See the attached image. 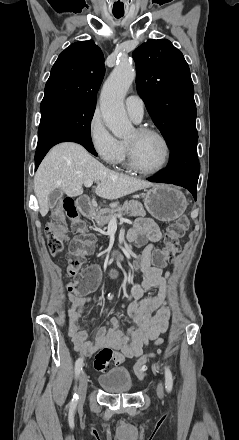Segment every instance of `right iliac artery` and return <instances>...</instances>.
Masks as SVG:
<instances>
[{"label":"right iliac artery","mask_w":239,"mask_h":440,"mask_svg":"<svg viewBox=\"0 0 239 440\" xmlns=\"http://www.w3.org/2000/svg\"><path fill=\"white\" fill-rule=\"evenodd\" d=\"M111 298H112V296L110 297V295H109V299H111ZM82 368H83V359L79 358L75 363V376H76V378L79 376ZM77 402H78V394L75 393L73 395L71 402H70V408L74 409L77 405Z\"/></svg>","instance_id":"1"}]
</instances>
